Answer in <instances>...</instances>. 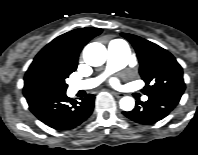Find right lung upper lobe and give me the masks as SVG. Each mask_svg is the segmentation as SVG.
Segmentation results:
<instances>
[{
	"instance_id": "cb5924a9",
	"label": "right lung upper lobe",
	"mask_w": 198,
	"mask_h": 155,
	"mask_svg": "<svg viewBox=\"0 0 198 155\" xmlns=\"http://www.w3.org/2000/svg\"><path fill=\"white\" fill-rule=\"evenodd\" d=\"M102 32L100 28H79L58 36L47 44L34 58L25 75L24 96L33 94L28 90L27 79L29 73L39 65L56 64L76 69L78 56L83 46L93 37Z\"/></svg>"
}]
</instances>
